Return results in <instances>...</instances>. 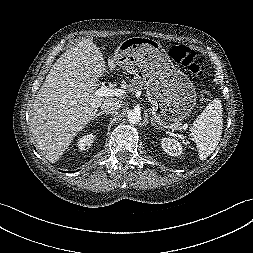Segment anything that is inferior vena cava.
<instances>
[{"instance_id":"inferior-vena-cava-1","label":"inferior vena cava","mask_w":253,"mask_h":253,"mask_svg":"<svg viewBox=\"0 0 253 253\" xmlns=\"http://www.w3.org/2000/svg\"><path fill=\"white\" fill-rule=\"evenodd\" d=\"M122 106V101L118 99H108L101 105V110L105 114L116 113Z\"/></svg>"}]
</instances>
